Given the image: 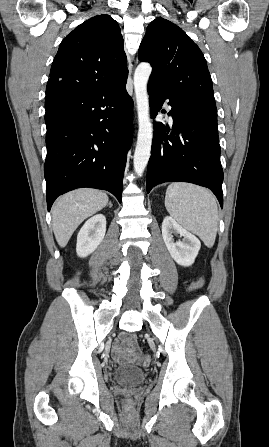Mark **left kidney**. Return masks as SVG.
I'll return each mask as SVG.
<instances>
[{
    "label": "left kidney",
    "mask_w": 269,
    "mask_h": 447,
    "mask_svg": "<svg viewBox=\"0 0 269 447\" xmlns=\"http://www.w3.org/2000/svg\"><path fill=\"white\" fill-rule=\"evenodd\" d=\"M172 233H180V235H183L182 241H174ZM162 237L171 257L179 265H192L194 263L195 257L201 247L198 237H195L193 233L181 227L170 216H166L163 220Z\"/></svg>",
    "instance_id": "1"
}]
</instances>
